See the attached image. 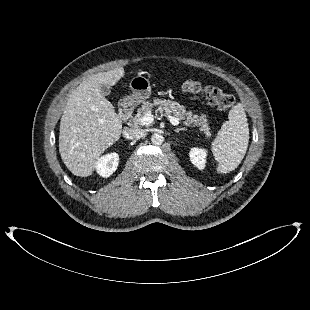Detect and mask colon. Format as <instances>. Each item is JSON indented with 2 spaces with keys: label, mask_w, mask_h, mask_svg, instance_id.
<instances>
[{
  "label": "colon",
  "mask_w": 310,
  "mask_h": 310,
  "mask_svg": "<svg viewBox=\"0 0 310 310\" xmlns=\"http://www.w3.org/2000/svg\"><path fill=\"white\" fill-rule=\"evenodd\" d=\"M182 90L189 96L202 95L210 105L223 111H227L235 105L232 95L214 86H204L194 79L186 80L182 85Z\"/></svg>",
  "instance_id": "colon-1"
}]
</instances>
